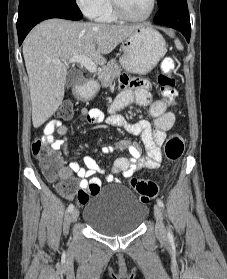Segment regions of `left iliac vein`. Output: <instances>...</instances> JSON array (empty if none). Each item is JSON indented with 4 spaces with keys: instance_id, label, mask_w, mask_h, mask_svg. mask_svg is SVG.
<instances>
[{
    "instance_id": "1",
    "label": "left iliac vein",
    "mask_w": 227,
    "mask_h": 279,
    "mask_svg": "<svg viewBox=\"0 0 227 279\" xmlns=\"http://www.w3.org/2000/svg\"><path fill=\"white\" fill-rule=\"evenodd\" d=\"M154 215H155V218H156V231H157V234L160 237H165L166 230H165L164 224H163L162 210H161V207L159 205H155L154 206Z\"/></svg>"
}]
</instances>
